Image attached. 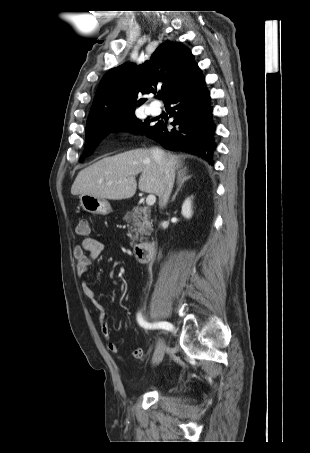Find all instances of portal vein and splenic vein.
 <instances>
[{"instance_id":"obj_1","label":"portal vein and splenic vein","mask_w":310,"mask_h":453,"mask_svg":"<svg viewBox=\"0 0 310 453\" xmlns=\"http://www.w3.org/2000/svg\"><path fill=\"white\" fill-rule=\"evenodd\" d=\"M156 202V197L155 195H148L147 198H146V204L147 206H153Z\"/></svg>"}]
</instances>
